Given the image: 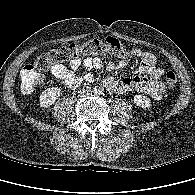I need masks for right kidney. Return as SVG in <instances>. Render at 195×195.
Masks as SVG:
<instances>
[{
    "label": "right kidney",
    "mask_w": 195,
    "mask_h": 195,
    "mask_svg": "<svg viewBox=\"0 0 195 195\" xmlns=\"http://www.w3.org/2000/svg\"><path fill=\"white\" fill-rule=\"evenodd\" d=\"M61 94H62L61 89L58 87L47 88L40 95V99H39L40 107L47 108L51 106L52 104H54L56 99L60 97Z\"/></svg>",
    "instance_id": "obj_1"
}]
</instances>
